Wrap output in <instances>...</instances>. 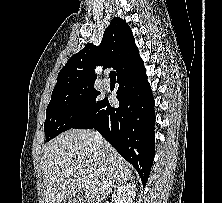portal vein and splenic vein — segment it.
I'll list each match as a JSON object with an SVG mask.
<instances>
[{
	"label": "portal vein and splenic vein",
	"mask_w": 222,
	"mask_h": 203,
	"mask_svg": "<svg viewBox=\"0 0 222 203\" xmlns=\"http://www.w3.org/2000/svg\"><path fill=\"white\" fill-rule=\"evenodd\" d=\"M87 184H88V181H87L86 179H83V180H82V185H83V186H87Z\"/></svg>",
	"instance_id": "portal-vein-and-splenic-vein-1"
}]
</instances>
